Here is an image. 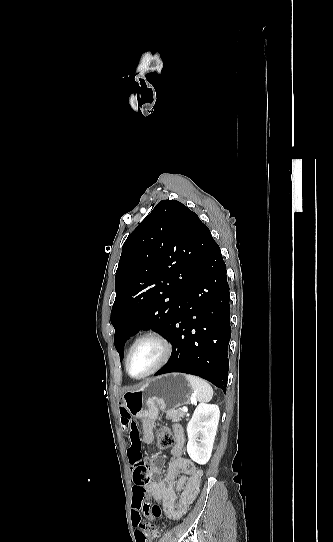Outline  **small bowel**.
<instances>
[{
	"label": "small bowel",
	"instance_id": "c3829d8e",
	"mask_svg": "<svg viewBox=\"0 0 333 542\" xmlns=\"http://www.w3.org/2000/svg\"><path fill=\"white\" fill-rule=\"evenodd\" d=\"M120 417L122 420V429L129 442L127 454L132 464L142 458L143 453L141 447V438L138 435L137 426L135 424V416L125 408H120ZM175 444L171 450L172 460L169 463L164 478L157 482H150L145 486V489L150 493L155 500L161 504L166 516L172 520L180 519L195 502L201 485L203 471L192 460L184 454L185 435L183 429L179 425L174 426ZM142 440L146 444H150L154 440L153 423L148 420H143V437ZM151 458L149 455L146 457ZM158 461L164 460L163 454L157 455ZM151 469L156 474H160L161 469L155 467L152 460ZM179 498L177 499V494ZM135 506V503H134ZM136 507V506H135ZM135 508L132 515L133 522L131 528L138 530L140 523L138 522V514Z\"/></svg>",
	"mask_w": 333,
	"mask_h": 542
}]
</instances>
